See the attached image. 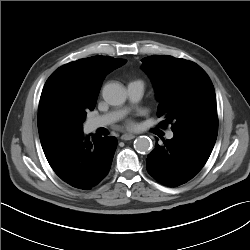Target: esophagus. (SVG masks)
I'll use <instances>...</instances> for the list:
<instances>
[{
    "label": "esophagus",
    "mask_w": 250,
    "mask_h": 250,
    "mask_svg": "<svg viewBox=\"0 0 250 250\" xmlns=\"http://www.w3.org/2000/svg\"><path fill=\"white\" fill-rule=\"evenodd\" d=\"M134 138H135V135H133V134H123L121 136V139L124 140V141L132 140Z\"/></svg>",
    "instance_id": "34e87169"
}]
</instances>
